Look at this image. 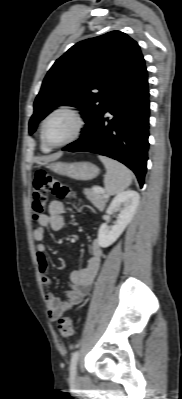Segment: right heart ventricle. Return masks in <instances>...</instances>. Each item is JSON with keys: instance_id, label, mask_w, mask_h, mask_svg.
Masks as SVG:
<instances>
[{"instance_id": "1", "label": "right heart ventricle", "mask_w": 182, "mask_h": 399, "mask_svg": "<svg viewBox=\"0 0 182 399\" xmlns=\"http://www.w3.org/2000/svg\"><path fill=\"white\" fill-rule=\"evenodd\" d=\"M41 146H42V150L43 151H49L51 148H49L48 146H46L44 143H43V141H42V143H41Z\"/></svg>"}]
</instances>
